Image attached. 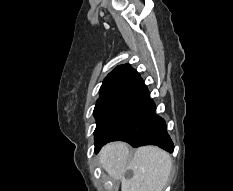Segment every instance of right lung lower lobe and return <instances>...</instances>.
I'll return each instance as SVG.
<instances>
[{
	"instance_id": "obj_1",
	"label": "right lung lower lobe",
	"mask_w": 233,
	"mask_h": 191,
	"mask_svg": "<svg viewBox=\"0 0 233 191\" xmlns=\"http://www.w3.org/2000/svg\"><path fill=\"white\" fill-rule=\"evenodd\" d=\"M127 104L104 134L95 142V152L110 141L122 140L133 147L157 145L172 153L174 146L165 121L155 114V103L140 78L126 93Z\"/></svg>"
}]
</instances>
